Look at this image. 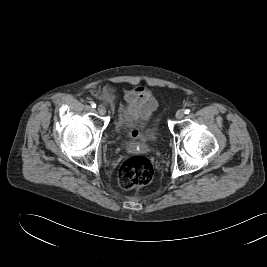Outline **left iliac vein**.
I'll return each instance as SVG.
<instances>
[{
  "mask_svg": "<svg viewBox=\"0 0 267 267\" xmlns=\"http://www.w3.org/2000/svg\"><path fill=\"white\" fill-rule=\"evenodd\" d=\"M184 114H185L184 110H178L176 112V118L177 119H182L184 117Z\"/></svg>",
  "mask_w": 267,
  "mask_h": 267,
  "instance_id": "1",
  "label": "left iliac vein"
}]
</instances>
